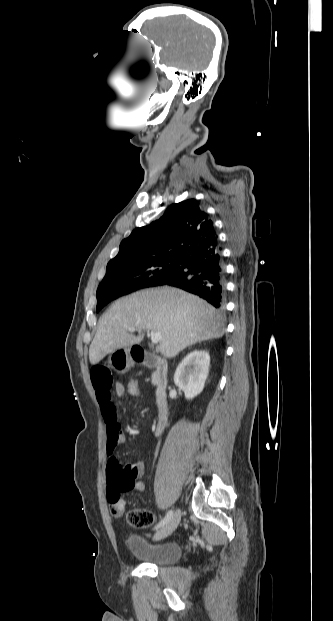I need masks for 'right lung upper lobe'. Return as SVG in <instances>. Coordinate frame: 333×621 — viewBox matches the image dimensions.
Masks as SVG:
<instances>
[{"label": "right lung upper lobe", "mask_w": 333, "mask_h": 621, "mask_svg": "<svg viewBox=\"0 0 333 621\" xmlns=\"http://www.w3.org/2000/svg\"><path fill=\"white\" fill-rule=\"evenodd\" d=\"M217 242L212 221L199 201L172 204L156 221L136 228L124 239L108 265L160 257H179L204 250Z\"/></svg>", "instance_id": "right-lung-upper-lobe-1"}]
</instances>
